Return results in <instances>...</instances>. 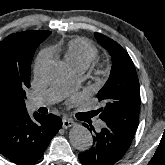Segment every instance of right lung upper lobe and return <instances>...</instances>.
<instances>
[{"label": "right lung upper lobe", "mask_w": 165, "mask_h": 165, "mask_svg": "<svg viewBox=\"0 0 165 165\" xmlns=\"http://www.w3.org/2000/svg\"><path fill=\"white\" fill-rule=\"evenodd\" d=\"M50 31H24L11 34L0 42V70L16 73L24 84H30V67L35 48ZM24 99L0 87V127L26 114Z\"/></svg>", "instance_id": "1"}]
</instances>
